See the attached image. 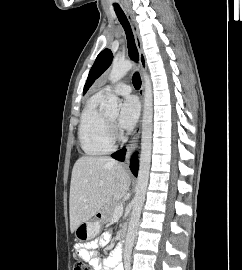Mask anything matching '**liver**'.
Returning a JSON list of instances; mask_svg holds the SVG:
<instances>
[{"mask_svg":"<svg viewBox=\"0 0 242 270\" xmlns=\"http://www.w3.org/2000/svg\"><path fill=\"white\" fill-rule=\"evenodd\" d=\"M131 179L122 164L110 157L83 156L74 164L70 184V230L90 220L105 204L119 201Z\"/></svg>","mask_w":242,"mask_h":270,"instance_id":"6515ba94","label":"liver"}]
</instances>
